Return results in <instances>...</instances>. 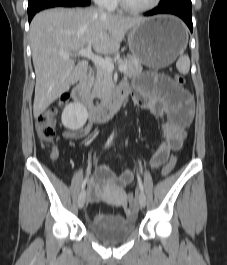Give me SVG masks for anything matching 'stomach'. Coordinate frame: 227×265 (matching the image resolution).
<instances>
[{"mask_svg": "<svg viewBox=\"0 0 227 265\" xmlns=\"http://www.w3.org/2000/svg\"><path fill=\"white\" fill-rule=\"evenodd\" d=\"M187 40L188 35L182 21L172 15L146 19L128 32L132 56L154 69L172 64Z\"/></svg>", "mask_w": 227, "mask_h": 265, "instance_id": "1", "label": "stomach"}]
</instances>
